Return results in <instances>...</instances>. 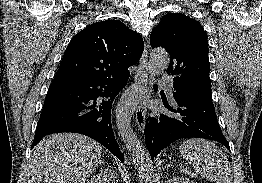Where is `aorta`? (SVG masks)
<instances>
[{
  "mask_svg": "<svg viewBox=\"0 0 262 183\" xmlns=\"http://www.w3.org/2000/svg\"><path fill=\"white\" fill-rule=\"evenodd\" d=\"M168 65V53L164 49L153 50L148 63V75L141 82L132 85L125 91L116 108V124L119 133L132 153L139 175L143 177L148 176L153 167L148 152L131 128V118L137 105L147 93V85L153 81L155 75L166 69Z\"/></svg>",
  "mask_w": 262,
  "mask_h": 183,
  "instance_id": "1",
  "label": "aorta"
}]
</instances>
